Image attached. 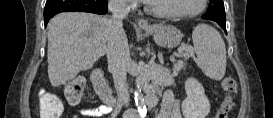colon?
<instances>
[{
	"label": "colon",
	"mask_w": 273,
	"mask_h": 118,
	"mask_svg": "<svg viewBox=\"0 0 273 118\" xmlns=\"http://www.w3.org/2000/svg\"><path fill=\"white\" fill-rule=\"evenodd\" d=\"M83 81L75 79L67 85V100L72 103H78L83 97ZM222 88L225 97L214 118H228L229 112L233 107V97L237 91V83L234 78L226 77L222 80ZM40 117L41 118H59L63 113L64 106L61 99L57 96L41 92L39 99Z\"/></svg>",
	"instance_id": "1"
}]
</instances>
